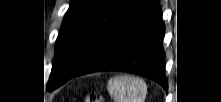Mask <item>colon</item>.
Segmentation results:
<instances>
[{
	"mask_svg": "<svg viewBox=\"0 0 221 102\" xmlns=\"http://www.w3.org/2000/svg\"><path fill=\"white\" fill-rule=\"evenodd\" d=\"M84 102H101V100L95 94H88L85 96Z\"/></svg>",
	"mask_w": 221,
	"mask_h": 102,
	"instance_id": "1",
	"label": "colon"
}]
</instances>
